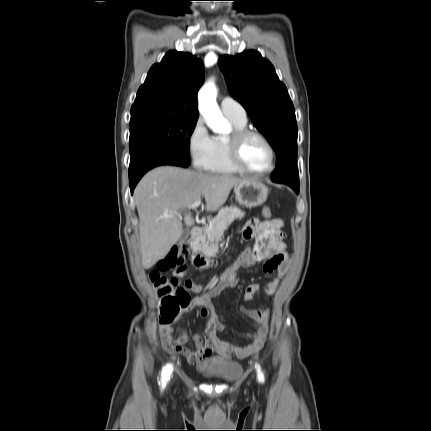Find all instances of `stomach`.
Returning <instances> with one entry per match:
<instances>
[{"mask_svg": "<svg viewBox=\"0 0 431 431\" xmlns=\"http://www.w3.org/2000/svg\"><path fill=\"white\" fill-rule=\"evenodd\" d=\"M234 191L238 203L249 208L262 205L268 197V188L255 179H245Z\"/></svg>", "mask_w": 431, "mask_h": 431, "instance_id": "stomach-1", "label": "stomach"}]
</instances>
